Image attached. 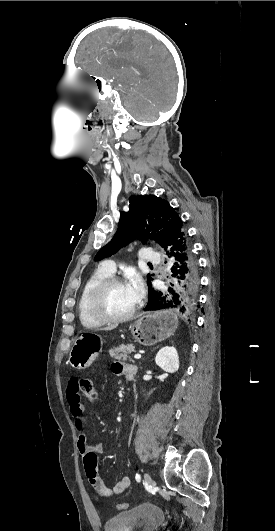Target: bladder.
I'll return each instance as SVG.
<instances>
[{"mask_svg": "<svg viewBox=\"0 0 275 531\" xmlns=\"http://www.w3.org/2000/svg\"><path fill=\"white\" fill-rule=\"evenodd\" d=\"M166 513L155 504L143 503L116 513L104 522V531H157L164 524Z\"/></svg>", "mask_w": 275, "mask_h": 531, "instance_id": "1", "label": "bladder"}]
</instances>
